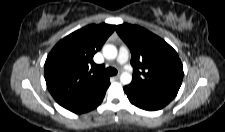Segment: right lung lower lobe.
<instances>
[{
  "label": "right lung lower lobe",
  "mask_w": 225,
  "mask_h": 132,
  "mask_svg": "<svg viewBox=\"0 0 225 132\" xmlns=\"http://www.w3.org/2000/svg\"><path fill=\"white\" fill-rule=\"evenodd\" d=\"M104 96H105V95H104ZM104 96H103V98H104ZM103 98H102V100H103ZM102 100H101V101H102ZM101 101H100V103H101ZM100 103H99V104H100ZM99 104H98V105H99ZM98 105H97V106H98ZM97 106H96V107H97Z\"/></svg>",
  "instance_id": "98d812e1"
}]
</instances>
